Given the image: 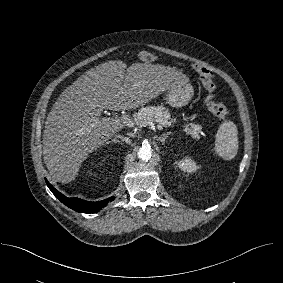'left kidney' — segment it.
Segmentation results:
<instances>
[{
  "label": "left kidney",
  "mask_w": 283,
  "mask_h": 283,
  "mask_svg": "<svg viewBox=\"0 0 283 283\" xmlns=\"http://www.w3.org/2000/svg\"><path fill=\"white\" fill-rule=\"evenodd\" d=\"M177 166L184 172L192 173L198 169L197 164L189 157H185L176 162Z\"/></svg>",
  "instance_id": "5707ae66"
}]
</instances>
